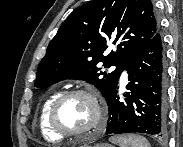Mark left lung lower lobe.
I'll list each match as a JSON object with an SVG mask.
<instances>
[{"label": "left lung lower lobe", "instance_id": "0a47b994", "mask_svg": "<svg viewBox=\"0 0 183 147\" xmlns=\"http://www.w3.org/2000/svg\"><path fill=\"white\" fill-rule=\"evenodd\" d=\"M123 70L130 82L123 101L118 97V82L107 100L106 134L162 136L166 132V67L159 32L126 60Z\"/></svg>", "mask_w": 183, "mask_h": 147}]
</instances>
